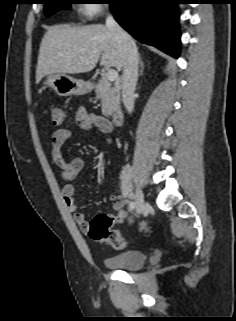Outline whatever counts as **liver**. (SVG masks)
Here are the masks:
<instances>
[{
    "instance_id": "6515ba94",
    "label": "liver",
    "mask_w": 236,
    "mask_h": 321,
    "mask_svg": "<svg viewBox=\"0 0 236 321\" xmlns=\"http://www.w3.org/2000/svg\"><path fill=\"white\" fill-rule=\"evenodd\" d=\"M105 67L123 68L122 48L102 24L56 26L44 34L36 67V83L50 74H78L95 68L99 58Z\"/></svg>"
}]
</instances>
